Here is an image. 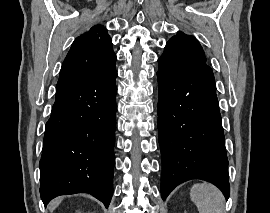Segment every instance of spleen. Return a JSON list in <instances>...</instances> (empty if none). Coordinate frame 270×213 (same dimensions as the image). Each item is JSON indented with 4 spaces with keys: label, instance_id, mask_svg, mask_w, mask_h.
<instances>
[{
    "label": "spleen",
    "instance_id": "obj_1",
    "mask_svg": "<svg viewBox=\"0 0 270 213\" xmlns=\"http://www.w3.org/2000/svg\"><path fill=\"white\" fill-rule=\"evenodd\" d=\"M190 197L199 213H224V196L212 184H194L190 190Z\"/></svg>",
    "mask_w": 270,
    "mask_h": 213
}]
</instances>
